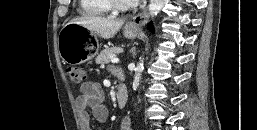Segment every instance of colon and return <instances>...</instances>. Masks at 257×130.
Returning a JSON list of instances; mask_svg holds the SVG:
<instances>
[{
	"mask_svg": "<svg viewBox=\"0 0 257 130\" xmlns=\"http://www.w3.org/2000/svg\"><path fill=\"white\" fill-rule=\"evenodd\" d=\"M67 72L70 79L75 83H80L85 79V71L80 67H69Z\"/></svg>",
	"mask_w": 257,
	"mask_h": 130,
	"instance_id": "colon-1",
	"label": "colon"
}]
</instances>
